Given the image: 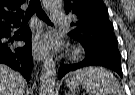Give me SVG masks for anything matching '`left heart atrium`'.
<instances>
[{"label":"left heart atrium","mask_w":135,"mask_h":95,"mask_svg":"<svg viewBox=\"0 0 135 95\" xmlns=\"http://www.w3.org/2000/svg\"><path fill=\"white\" fill-rule=\"evenodd\" d=\"M56 46L55 39L51 35H44L39 41H38V48L45 52L49 49H52Z\"/></svg>","instance_id":"obj_1"}]
</instances>
